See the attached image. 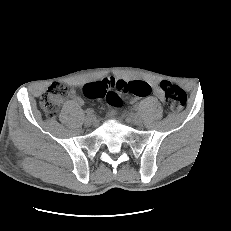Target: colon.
Returning a JSON list of instances; mask_svg holds the SVG:
<instances>
[{"mask_svg":"<svg viewBox=\"0 0 231 231\" xmlns=\"http://www.w3.org/2000/svg\"><path fill=\"white\" fill-rule=\"evenodd\" d=\"M164 93V100L171 111L179 112L186 103L185 92L177 85L162 80L159 84ZM69 86L62 83H53L45 91L40 100L41 108L49 118H54L62 101L70 94ZM83 93L90 99H105L114 106L121 104V94L131 93L138 97L147 96L150 86L144 81L126 82L122 80L103 79L98 82L86 84Z\"/></svg>","mask_w":231,"mask_h":231,"instance_id":"5ec220e1","label":"colon"}]
</instances>
